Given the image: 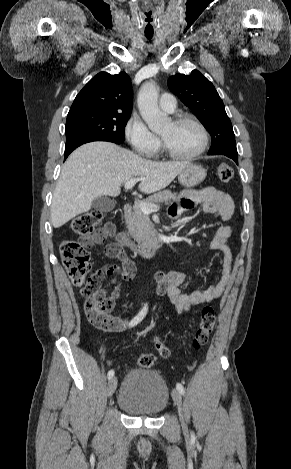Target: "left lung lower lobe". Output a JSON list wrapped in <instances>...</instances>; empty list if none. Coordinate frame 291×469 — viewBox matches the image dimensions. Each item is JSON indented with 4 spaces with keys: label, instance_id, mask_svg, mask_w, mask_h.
<instances>
[{
    "label": "left lung lower lobe",
    "instance_id": "0a47b994",
    "mask_svg": "<svg viewBox=\"0 0 291 469\" xmlns=\"http://www.w3.org/2000/svg\"><path fill=\"white\" fill-rule=\"evenodd\" d=\"M209 155H225L235 161L236 164H238V153H228V152H220L217 154H209Z\"/></svg>",
    "mask_w": 291,
    "mask_h": 469
}]
</instances>
